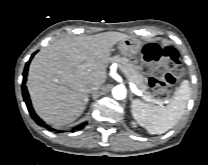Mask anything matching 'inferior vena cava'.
Segmentation results:
<instances>
[{"label": "inferior vena cava", "instance_id": "obj_1", "mask_svg": "<svg viewBox=\"0 0 208 165\" xmlns=\"http://www.w3.org/2000/svg\"><path fill=\"white\" fill-rule=\"evenodd\" d=\"M99 88H100V85L92 84V85L89 86L88 91L93 92V91L98 90Z\"/></svg>", "mask_w": 208, "mask_h": 165}]
</instances>
